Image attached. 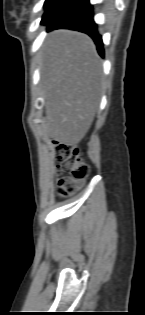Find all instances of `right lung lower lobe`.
I'll list each match as a JSON object with an SVG mask.
<instances>
[{
  "instance_id": "right-lung-lower-lobe-1",
  "label": "right lung lower lobe",
  "mask_w": 145,
  "mask_h": 315,
  "mask_svg": "<svg viewBox=\"0 0 145 315\" xmlns=\"http://www.w3.org/2000/svg\"><path fill=\"white\" fill-rule=\"evenodd\" d=\"M46 25L47 30L67 28L87 33L97 45L98 53L104 56L102 38L97 32L89 0H67Z\"/></svg>"
}]
</instances>
